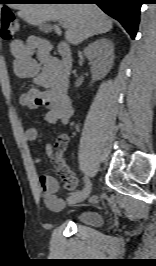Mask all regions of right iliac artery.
I'll use <instances>...</instances> for the list:
<instances>
[{
    "label": "right iliac artery",
    "mask_w": 156,
    "mask_h": 266,
    "mask_svg": "<svg viewBox=\"0 0 156 266\" xmlns=\"http://www.w3.org/2000/svg\"><path fill=\"white\" fill-rule=\"evenodd\" d=\"M84 185H85V187H87V188H88V186L90 185V182H89V180H88L87 178H85ZM80 192H81V191H76V192L72 193V195H74V194H78V193H80Z\"/></svg>",
    "instance_id": "right-iliac-artery-1"
}]
</instances>
